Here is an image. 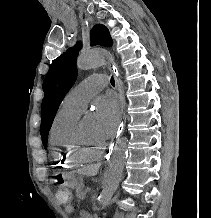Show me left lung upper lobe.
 <instances>
[{
    "mask_svg": "<svg viewBox=\"0 0 211 218\" xmlns=\"http://www.w3.org/2000/svg\"><path fill=\"white\" fill-rule=\"evenodd\" d=\"M96 44L106 47H110L113 44L108 29L102 24L94 26L91 31V45ZM80 49L81 44L77 43L74 47L56 58L50 65L49 71L43 81L45 96L42 102L40 132L45 149L47 148L48 133L58 107L65 94L75 82L77 76L76 59Z\"/></svg>",
    "mask_w": 211,
    "mask_h": 218,
    "instance_id": "1",
    "label": "left lung upper lobe"
}]
</instances>
